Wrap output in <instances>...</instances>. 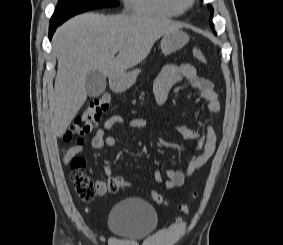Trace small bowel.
<instances>
[{
	"label": "small bowel",
	"instance_id": "obj_1",
	"mask_svg": "<svg viewBox=\"0 0 283 245\" xmlns=\"http://www.w3.org/2000/svg\"><path fill=\"white\" fill-rule=\"evenodd\" d=\"M181 81H187L191 88L196 92V101L203 100L206 102L207 113H218L220 111V102L212 82L199 76L196 69L190 64H168L162 68L154 81V95L156 102L161 106L166 105L170 89ZM123 123L124 119L119 115L109 117L92 137L91 146L95 149L113 147L116 144V140L113 136H107L106 133L115 126ZM127 126L132 130L145 129L149 127V123L145 119L135 118L128 121ZM175 129L183 139L195 144L196 153L191 157L185 171L169 169L166 171V179L158 169H155V181L157 183H163L168 189L182 186L194 172L204 166L214 154L217 141L215 128L212 124L206 125L202 133H197L191 128L181 124H177ZM82 146L81 143L70 148L64 156L65 163H68L74 154L82 149ZM104 174L108 179L113 177L112 168L108 166L105 167ZM96 193L99 196L108 193L106 181L98 180L96 182ZM86 210L89 211L88 208Z\"/></svg>",
	"mask_w": 283,
	"mask_h": 245
}]
</instances>
